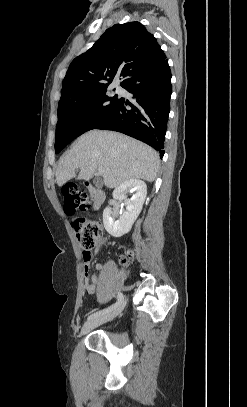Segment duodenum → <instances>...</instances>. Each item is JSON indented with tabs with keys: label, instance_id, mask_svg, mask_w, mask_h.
<instances>
[{
	"label": "duodenum",
	"instance_id": "410a0bca",
	"mask_svg": "<svg viewBox=\"0 0 247 407\" xmlns=\"http://www.w3.org/2000/svg\"><path fill=\"white\" fill-rule=\"evenodd\" d=\"M84 185L88 188L92 198V209L96 210L105 200V193L96 189L90 182L84 181Z\"/></svg>",
	"mask_w": 247,
	"mask_h": 407
}]
</instances>
